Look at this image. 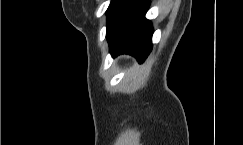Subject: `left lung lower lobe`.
Listing matches in <instances>:
<instances>
[{"label":"left lung lower lobe","mask_w":243,"mask_h":145,"mask_svg":"<svg viewBox=\"0 0 243 145\" xmlns=\"http://www.w3.org/2000/svg\"><path fill=\"white\" fill-rule=\"evenodd\" d=\"M149 0H130L107 31L110 53L134 56L143 62L152 48L153 28L145 14Z\"/></svg>","instance_id":"left-lung-lower-lobe-1"}]
</instances>
